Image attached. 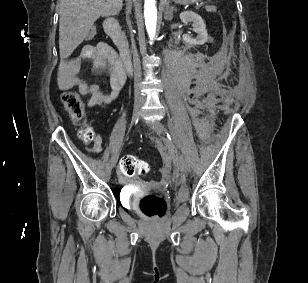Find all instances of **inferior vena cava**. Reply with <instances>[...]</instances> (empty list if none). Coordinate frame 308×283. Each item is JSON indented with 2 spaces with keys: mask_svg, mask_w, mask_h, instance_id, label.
Segmentation results:
<instances>
[{
  "mask_svg": "<svg viewBox=\"0 0 308 283\" xmlns=\"http://www.w3.org/2000/svg\"><path fill=\"white\" fill-rule=\"evenodd\" d=\"M131 13V9L127 10L126 9V16H127V22L129 25V35H131V45H132V49H133V53L134 56L136 57V64H135V74H134V82L135 84H138L141 81V68H140V64H139V60H138V55H137V49L136 46L138 43V38L136 36V34H134V23L133 20L131 18H129V15Z\"/></svg>",
  "mask_w": 308,
  "mask_h": 283,
  "instance_id": "1",
  "label": "inferior vena cava"
}]
</instances>
